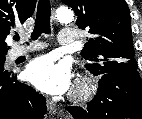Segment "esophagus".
Wrapping results in <instances>:
<instances>
[{
	"mask_svg": "<svg viewBox=\"0 0 142 119\" xmlns=\"http://www.w3.org/2000/svg\"><path fill=\"white\" fill-rule=\"evenodd\" d=\"M47 110L50 114H56V105L51 99H47Z\"/></svg>",
	"mask_w": 142,
	"mask_h": 119,
	"instance_id": "34e87169",
	"label": "esophagus"
}]
</instances>
